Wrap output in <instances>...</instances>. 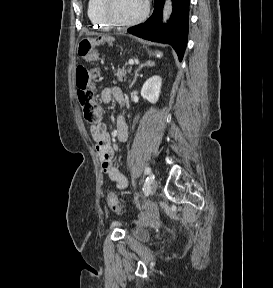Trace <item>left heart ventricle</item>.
<instances>
[{
	"label": "left heart ventricle",
	"instance_id": "1",
	"mask_svg": "<svg viewBox=\"0 0 273 288\" xmlns=\"http://www.w3.org/2000/svg\"><path fill=\"white\" fill-rule=\"evenodd\" d=\"M144 0H113L110 11L118 20H132L144 10Z\"/></svg>",
	"mask_w": 273,
	"mask_h": 288
}]
</instances>
